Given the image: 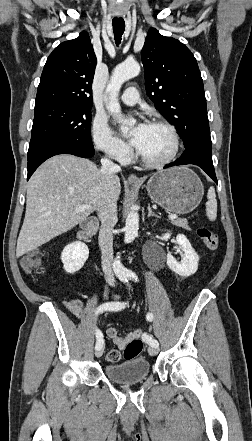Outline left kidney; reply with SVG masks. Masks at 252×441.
Returning <instances> with one entry per match:
<instances>
[{
  "label": "left kidney",
  "instance_id": "left-kidney-1",
  "mask_svg": "<svg viewBox=\"0 0 252 441\" xmlns=\"http://www.w3.org/2000/svg\"><path fill=\"white\" fill-rule=\"evenodd\" d=\"M171 234L165 233L162 240L168 241ZM177 243L181 246L184 253L181 262H178L170 253L167 254V266L176 274L188 277L194 274L198 269L199 256L192 248L189 240L183 234H178L176 237Z\"/></svg>",
  "mask_w": 252,
  "mask_h": 441
}]
</instances>
